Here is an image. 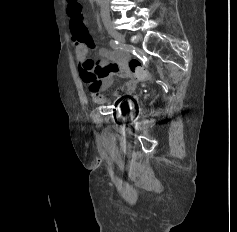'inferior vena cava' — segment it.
<instances>
[{"mask_svg":"<svg viewBox=\"0 0 237 232\" xmlns=\"http://www.w3.org/2000/svg\"><path fill=\"white\" fill-rule=\"evenodd\" d=\"M101 6V18L103 21L110 20L109 1L110 0H97Z\"/></svg>","mask_w":237,"mask_h":232,"instance_id":"obj_1","label":"inferior vena cava"}]
</instances>
